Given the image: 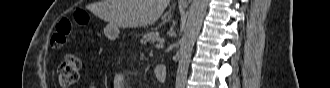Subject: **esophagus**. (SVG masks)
I'll return each instance as SVG.
<instances>
[{
    "label": "esophagus",
    "mask_w": 330,
    "mask_h": 88,
    "mask_svg": "<svg viewBox=\"0 0 330 88\" xmlns=\"http://www.w3.org/2000/svg\"><path fill=\"white\" fill-rule=\"evenodd\" d=\"M191 2V0H180V4L182 5H188Z\"/></svg>",
    "instance_id": "1"
}]
</instances>
